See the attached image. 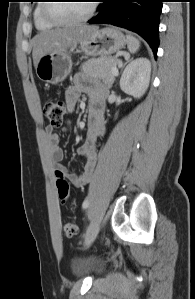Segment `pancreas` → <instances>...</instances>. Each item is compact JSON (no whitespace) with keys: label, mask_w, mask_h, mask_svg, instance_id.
<instances>
[{"label":"pancreas","mask_w":195,"mask_h":299,"mask_svg":"<svg viewBox=\"0 0 195 299\" xmlns=\"http://www.w3.org/2000/svg\"><path fill=\"white\" fill-rule=\"evenodd\" d=\"M117 58L112 56H103L97 59H89L84 62L80 69L86 75L92 78L101 79L106 85L111 87L115 76L112 73V68L116 67Z\"/></svg>","instance_id":"cf45deb5"}]
</instances>
